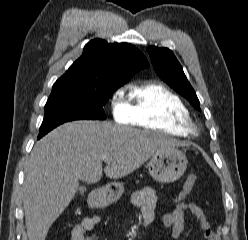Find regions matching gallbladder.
<instances>
[{
    "label": "gallbladder",
    "instance_id": "1",
    "mask_svg": "<svg viewBox=\"0 0 248 240\" xmlns=\"http://www.w3.org/2000/svg\"><path fill=\"white\" fill-rule=\"evenodd\" d=\"M86 191V188L85 187H79V192L80 193H84Z\"/></svg>",
    "mask_w": 248,
    "mask_h": 240
}]
</instances>
